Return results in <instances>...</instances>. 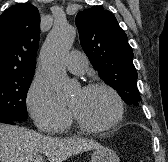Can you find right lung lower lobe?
<instances>
[{
  "label": "right lung lower lobe",
  "instance_id": "obj_1",
  "mask_svg": "<svg viewBox=\"0 0 168 162\" xmlns=\"http://www.w3.org/2000/svg\"><path fill=\"white\" fill-rule=\"evenodd\" d=\"M0 122L7 123V124H14L15 121L9 119H0Z\"/></svg>",
  "mask_w": 168,
  "mask_h": 162
}]
</instances>
